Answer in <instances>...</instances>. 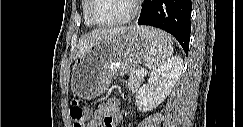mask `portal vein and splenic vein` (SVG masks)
Masks as SVG:
<instances>
[{"instance_id":"portal-vein-and-splenic-vein-1","label":"portal vein and splenic vein","mask_w":243,"mask_h":127,"mask_svg":"<svg viewBox=\"0 0 243 127\" xmlns=\"http://www.w3.org/2000/svg\"><path fill=\"white\" fill-rule=\"evenodd\" d=\"M136 73H139V74H144V73H146V71L141 70V71H136Z\"/></svg>"}]
</instances>
